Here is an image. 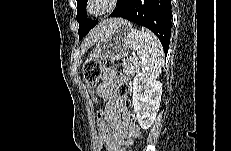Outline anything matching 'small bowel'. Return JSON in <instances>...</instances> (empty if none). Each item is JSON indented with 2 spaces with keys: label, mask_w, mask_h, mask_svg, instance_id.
Returning a JSON list of instances; mask_svg holds the SVG:
<instances>
[{
  "label": "small bowel",
  "mask_w": 231,
  "mask_h": 151,
  "mask_svg": "<svg viewBox=\"0 0 231 151\" xmlns=\"http://www.w3.org/2000/svg\"><path fill=\"white\" fill-rule=\"evenodd\" d=\"M117 80L112 72L104 74L97 94L104 105V118L110 129L109 145L118 151L119 145L128 138L137 137L139 129L127 118L123 99L115 90Z\"/></svg>",
  "instance_id": "obj_1"
}]
</instances>
